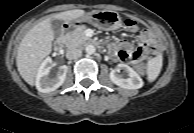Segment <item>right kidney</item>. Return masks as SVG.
I'll list each match as a JSON object with an SVG mask.
<instances>
[{
  "label": "right kidney",
  "mask_w": 194,
  "mask_h": 133,
  "mask_svg": "<svg viewBox=\"0 0 194 133\" xmlns=\"http://www.w3.org/2000/svg\"><path fill=\"white\" fill-rule=\"evenodd\" d=\"M51 58H46L40 65L36 78V88L42 93H48L58 89L66 78L68 67L66 65L60 66L56 75H51Z\"/></svg>",
  "instance_id": "1"
}]
</instances>
